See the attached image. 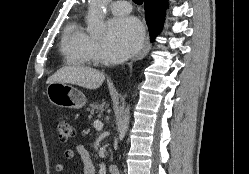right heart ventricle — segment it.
I'll list each match as a JSON object with an SVG mask.
<instances>
[{
  "label": "right heart ventricle",
  "instance_id": "right-heart-ventricle-1",
  "mask_svg": "<svg viewBox=\"0 0 249 174\" xmlns=\"http://www.w3.org/2000/svg\"><path fill=\"white\" fill-rule=\"evenodd\" d=\"M90 39L78 18L71 21L64 30L60 45L65 61L75 66L90 64L92 59L88 53Z\"/></svg>",
  "mask_w": 249,
  "mask_h": 174
}]
</instances>
